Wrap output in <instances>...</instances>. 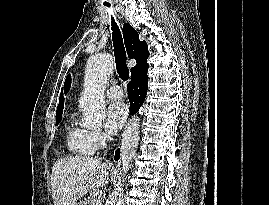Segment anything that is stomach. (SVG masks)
Wrapping results in <instances>:
<instances>
[{
  "label": "stomach",
  "mask_w": 269,
  "mask_h": 205,
  "mask_svg": "<svg viewBox=\"0 0 269 205\" xmlns=\"http://www.w3.org/2000/svg\"><path fill=\"white\" fill-rule=\"evenodd\" d=\"M75 205H84V202L83 201L76 202Z\"/></svg>",
  "instance_id": "1"
}]
</instances>
